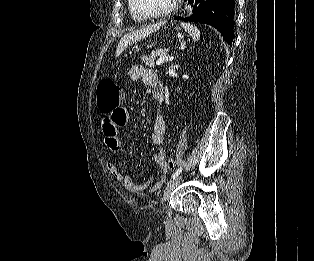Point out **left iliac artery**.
<instances>
[{
    "mask_svg": "<svg viewBox=\"0 0 314 261\" xmlns=\"http://www.w3.org/2000/svg\"><path fill=\"white\" fill-rule=\"evenodd\" d=\"M183 170V166H181L180 168H178L173 174H172V179L177 177Z\"/></svg>",
    "mask_w": 314,
    "mask_h": 261,
    "instance_id": "1",
    "label": "left iliac artery"
}]
</instances>
